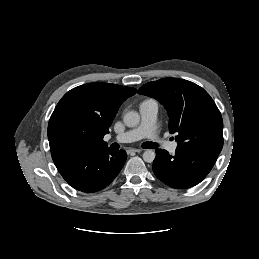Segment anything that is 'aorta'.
Returning a JSON list of instances; mask_svg holds the SVG:
<instances>
[{"instance_id": "aorta-1", "label": "aorta", "mask_w": 259, "mask_h": 259, "mask_svg": "<svg viewBox=\"0 0 259 259\" xmlns=\"http://www.w3.org/2000/svg\"><path fill=\"white\" fill-rule=\"evenodd\" d=\"M124 124L128 127H135L140 122V115L136 111H129L124 115ZM155 152L152 149H147L143 153V159L145 162L152 163L155 159Z\"/></svg>"}]
</instances>
